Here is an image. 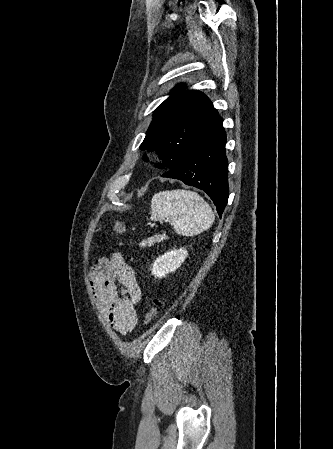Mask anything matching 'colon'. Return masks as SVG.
<instances>
[{"label": "colon", "instance_id": "5ec220e1", "mask_svg": "<svg viewBox=\"0 0 333 449\" xmlns=\"http://www.w3.org/2000/svg\"><path fill=\"white\" fill-rule=\"evenodd\" d=\"M114 229L119 234H125V232H126V226L121 221H115ZM159 305H160V301L157 299H154L152 302V306L146 312L145 324L149 325L154 322V320L156 319L157 314H158Z\"/></svg>", "mask_w": 333, "mask_h": 449}]
</instances>
